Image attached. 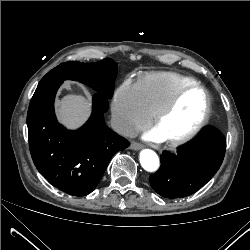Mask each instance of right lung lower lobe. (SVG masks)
Masks as SVG:
<instances>
[{"label": "right lung lower lobe", "instance_id": "right-lung-lower-lobe-1", "mask_svg": "<svg viewBox=\"0 0 250 250\" xmlns=\"http://www.w3.org/2000/svg\"><path fill=\"white\" fill-rule=\"evenodd\" d=\"M63 81L38 85L29 105V147L38 171L58 189L73 195L91 193L103 176L112 156L129 142L104 124L108 109L105 97L95 94L87 123L68 131L54 112L56 92Z\"/></svg>", "mask_w": 250, "mask_h": 250}]
</instances>
